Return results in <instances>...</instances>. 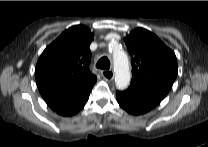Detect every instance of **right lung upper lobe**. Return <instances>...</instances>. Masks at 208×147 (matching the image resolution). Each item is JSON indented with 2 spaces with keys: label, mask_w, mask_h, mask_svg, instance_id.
<instances>
[{
  "label": "right lung upper lobe",
  "mask_w": 208,
  "mask_h": 147,
  "mask_svg": "<svg viewBox=\"0 0 208 147\" xmlns=\"http://www.w3.org/2000/svg\"><path fill=\"white\" fill-rule=\"evenodd\" d=\"M94 38L89 28L65 30L40 56L35 78L38 89L54 111L75 105L88 96L97 78L89 70Z\"/></svg>",
  "instance_id": "obj_1"
}]
</instances>
